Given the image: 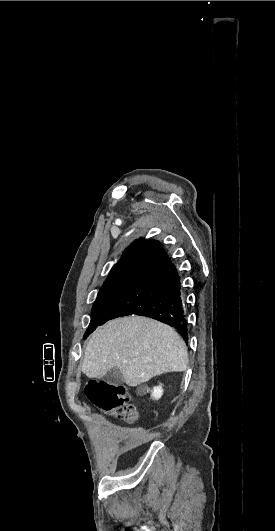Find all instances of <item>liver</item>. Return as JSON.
Returning <instances> with one entry per match:
<instances>
[{"mask_svg": "<svg viewBox=\"0 0 275 531\" xmlns=\"http://www.w3.org/2000/svg\"><path fill=\"white\" fill-rule=\"evenodd\" d=\"M186 345L172 327L147 317H122L92 333L82 371L89 379H102L117 367L128 387L147 383L152 377L186 371Z\"/></svg>", "mask_w": 275, "mask_h": 531, "instance_id": "liver-1", "label": "liver"}]
</instances>
